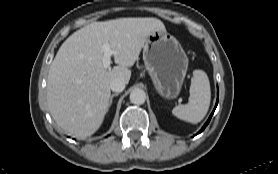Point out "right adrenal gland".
<instances>
[{
	"label": "right adrenal gland",
	"mask_w": 278,
	"mask_h": 174,
	"mask_svg": "<svg viewBox=\"0 0 278 174\" xmlns=\"http://www.w3.org/2000/svg\"><path fill=\"white\" fill-rule=\"evenodd\" d=\"M115 96H118V93L112 94L110 97V101H109V105H108V109L110 108V106L112 105V100Z\"/></svg>",
	"instance_id": "obj_1"
}]
</instances>
